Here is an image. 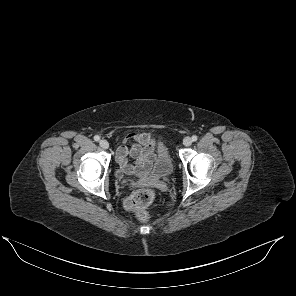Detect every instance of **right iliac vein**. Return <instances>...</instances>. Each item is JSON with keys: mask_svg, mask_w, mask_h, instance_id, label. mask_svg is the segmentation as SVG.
Here are the masks:
<instances>
[{"mask_svg": "<svg viewBox=\"0 0 296 296\" xmlns=\"http://www.w3.org/2000/svg\"><path fill=\"white\" fill-rule=\"evenodd\" d=\"M99 144H100V146H101L103 149H108V148H109V143H108V141L105 140V139L100 140Z\"/></svg>", "mask_w": 296, "mask_h": 296, "instance_id": "1", "label": "right iliac vein"}]
</instances>
